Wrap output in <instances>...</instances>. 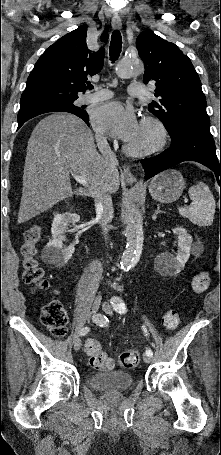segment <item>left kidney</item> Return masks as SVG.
<instances>
[{"label":"left kidney","instance_id":"1","mask_svg":"<svg viewBox=\"0 0 221 455\" xmlns=\"http://www.w3.org/2000/svg\"><path fill=\"white\" fill-rule=\"evenodd\" d=\"M173 233L178 235L179 250L177 256L167 252L161 253L156 256L155 265L158 270L165 273L177 274L184 268L185 263L190 257L191 243L193 241L186 229L177 227L172 229Z\"/></svg>","mask_w":221,"mask_h":455}]
</instances>
